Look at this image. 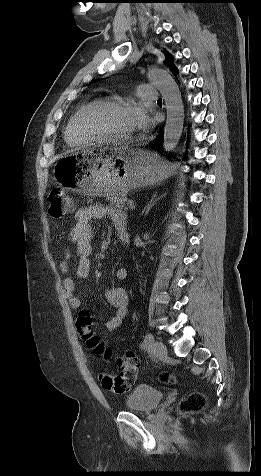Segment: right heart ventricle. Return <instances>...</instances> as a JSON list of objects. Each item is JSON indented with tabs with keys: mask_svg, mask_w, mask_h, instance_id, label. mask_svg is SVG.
<instances>
[{
	"mask_svg": "<svg viewBox=\"0 0 261 476\" xmlns=\"http://www.w3.org/2000/svg\"><path fill=\"white\" fill-rule=\"evenodd\" d=\"M80 109L75 111L69 118L65 128V141L71 147H80L88 144L90 141L83 139L76 129V117Z\"/></svg>",
	"mask_w": 261,
	"mask_h": 476,
	"instance_id": "1",
	"label": "right heart ventricle"
}]
</instances>
